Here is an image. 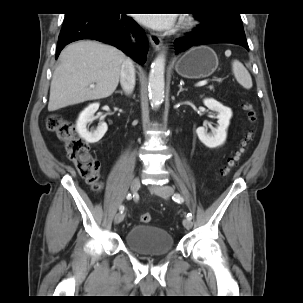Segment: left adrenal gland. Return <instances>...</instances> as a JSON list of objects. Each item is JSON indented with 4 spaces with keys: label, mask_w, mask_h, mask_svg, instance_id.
Here are the masks:
<instances>
[{
    "label": "left adrenal gland",
    "mask_w": 303,
    "mask_h": 303,
    "mask_svg": "<svg viewBox=\"0 0 303 303\" xmlns=\"http://www.w3.org/2000/svg\"><path fill=\"white\" fill-rule=\"evenodd\" d=\"M179 86V91L177 93V95H179V93H181L182 91H184L185 89L182 87V84L178 85Z\"/></svg>",
    "instance_id": "1"
}]
</instances>
